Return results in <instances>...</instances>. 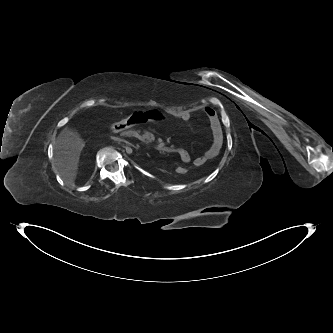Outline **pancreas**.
Wrapping results in <instances>:
<instances>
[{
    "instance_id": "obj_1",
    "label": "pancreas",
    "mask_w": 333,
    "mask_h": 333,
    "mask_svg": "<svg viewBox=\"0 0 333 333\" xmlns=\"http://www.w3.org/2000/svg\"><path fill=\"white\" fill-rule=\"evenodd\" d=\"M124 134L128 135V136H134V137L138 138L139 140H141L143 142H147V140L145 138L146 137L145 134L140 135L139 131H132V130H130V131L125 132Z\"/></svg>"
}]
</instances>
